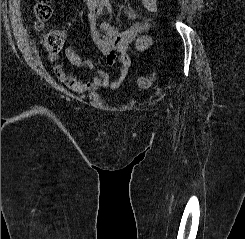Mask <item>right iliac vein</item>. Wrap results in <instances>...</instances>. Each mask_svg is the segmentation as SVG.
Listing matches in <instances>:
<instances>
[{
	"mask_svg": "<svg viewBox=\"0 0 245 239\" xmlns=\"http://www.w3.org/2000/svg\"><path fill=\"white\" fill-rule=\"evenodd\" d=\"M89 9L93 10L94 9V5H89Z\"/></svg>",
	"mask_w": 245,
	"mask_h": 239,
	"instance_id": "obj_1",
	"label": "right iliac vein"
}]
</instances>
